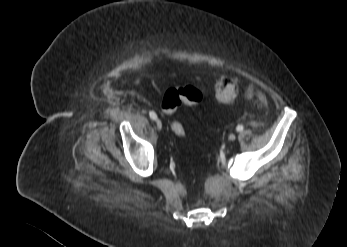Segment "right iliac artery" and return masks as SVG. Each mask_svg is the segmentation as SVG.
Wrapping results in <instances>:
<instances>
[{
    "label": "right iliac artery",
    "mask_w": 347,
    "mask_h": 247,
    "mask_svg": "<svg viewBox=\"0 0 347 247\" xmlns=\"http://www.w3.org/2000/svg\"><path fill=\"white\" fill-rule=\"evenodd\" d=\"M149 116H150V118L153 119V120H156V119H157V115H156V113L153 112V111H150V112H149Z\"/></svg>",
    "instance_id": "right-iliac-artery-1"
}]
</instances>
